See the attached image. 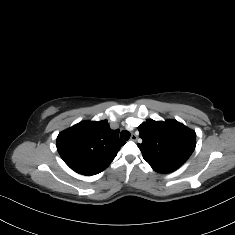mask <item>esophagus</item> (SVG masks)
I'll return each mask as SVG.
<instances>
[{"instance_id":"obj_1","label":"esophagus","mask_w":235,"mask_h":235,"mask_svg":"<svg viewBox=\"0 0 235 235\" xmlns=\"http://www.w3.org/2000/svg\"><path fill=\"white\" fill-rule=\"evenodd\" d=\"M138 136L135 133H132L130 140L137 141Z\"/></svg>"}]
</instances>
